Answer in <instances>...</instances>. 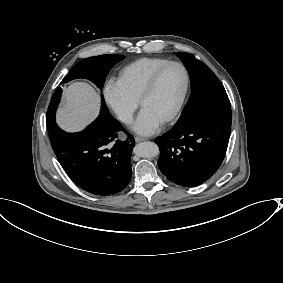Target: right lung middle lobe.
<instances>
[{"label":"right lung middle lobe","mask_w":283,"mask_h":283,"mask_svg":"<svg viewBox=\"0 0 283 283\" xmlns=\"http://www.w3.org/2000/svg\"><path fill=\"white\" fill-rule=\"evenodd\" d=\"M125 56L121 55H100L96 57H89L77 63L62 80L63 83H67L76 78H85L92 81L100 89L103 88L105 79L110 69L119 61L124 59ZM61 88H58L52 96L49 110H56L61 97ZM102 98L101 109H107L104 97ZM52 146L55 147L59 143V139L56 133L49 134Z\"/></svg>","instance_id":"1"}]
</instances>
